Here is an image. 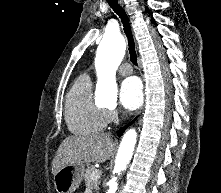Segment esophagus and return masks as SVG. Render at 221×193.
Returning a JSON list of instances; mask_svg holds the SVG:
<instances>
[{"label": "esophagus", "mask_w": 221, "mask_h": 193, "mask_svg": "<svg viewBox=\"0 0 221 193\" xmlns=\"http://www.w3.org/2000/svg\"><path fill=\"white\" fill-rule=\"evenodd\" d=\"M118 2H119V4H120V6L127 12L128 9H127V6H126V4L124 3V1H123V0H118Z\"/></svg>", "instance_id": "1"}]
</instances>
